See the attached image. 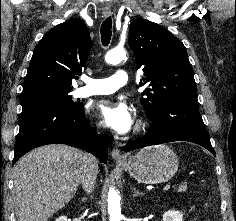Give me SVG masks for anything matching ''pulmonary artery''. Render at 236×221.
I'll use <instances>...</instances> for the list:
<instances>
[{
	"label": "pulmonary artery",
	"instance_id": "1",
	"mask_svg": "<svg viewBox=\"0 0 236 221\" xmlns=\"http://www.w3.org/2000/svg\"><path fill=\"white\" fill-rule=\"evenodd\" d=\"M129 80V75L125 70H117L111 77L104 79H94L85 77L84 86L75 90V96L84 98L92 95L109 94L117 91Z\"/></svg>",
	"mask_w": 236,
	"mask_h": 221
}]
</instances>
